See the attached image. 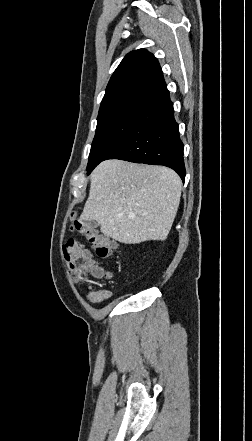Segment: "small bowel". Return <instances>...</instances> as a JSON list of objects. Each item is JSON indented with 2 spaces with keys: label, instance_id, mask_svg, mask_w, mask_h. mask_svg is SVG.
<instances>
[{
  "label": "small bowel",
  "instance_id": "obj_1",
  "mask_svg": "<svg viewBox=\"0 0 252 441\" xmlns=\"http://www.w3.org/2000/svg\"><path fill=\"white\" fill-rule=\"evenodd\" d=\"M111 297V292L105 290H98L92 286L87 287V300L92 304H99L105 299H109Z\"/></svg>",
  "mask_w": 252,
  "mask_h": 441
}]
</instances>
